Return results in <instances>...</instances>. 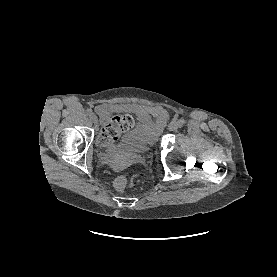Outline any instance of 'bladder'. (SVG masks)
Here are the masks:
<instances>
[{
  "label": "bladder",
  "instance_id": "31cf9c89",
  "mask_svg": "<svg viewBox=\"0 0 277 277\" xmlns=\"http://www.w3.org/2000/svg\"><path fill=\"white\" fill-rule=\"evenodd\" d=\"M159 137L158 127L150 120H140L112 148L116 152L140 153L151 149Z\"/></svg>",
  "mask_w": 277,
  "mask_h": 277
}]
</instances>
